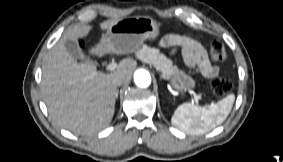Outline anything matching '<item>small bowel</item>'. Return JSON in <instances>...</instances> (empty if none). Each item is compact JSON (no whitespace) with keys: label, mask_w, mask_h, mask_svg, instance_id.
Returning <instances> with one entry per match:
<instances>
[{"label":"small bowel","mask_w":283,"mask_h":162,"mask_svg":"<svg viewBox=\"0 0 283 162\" xmlns=\"http://www.w3.org/2000/svg\"><path fill=\"white\" fill-rule=\"evenodd\" d=\"M160 46L172 52L180 50L184 62L206 78L218 75V67L212 65L204 47L196 40L185 36L168 35L160 41Z\"/></svg>","instance_id":"1"}]
</instances>
